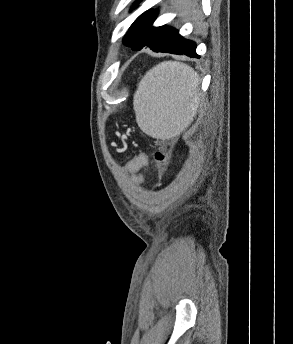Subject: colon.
<instances>
[{
  "instance_id": "colon-1",
  "label": "colon",
  "mask_w": 293,
  "mask_h": 344,
  "mask_svg": "<svg viewBox=\"0 0 293 344\" xmlns=\"http://www.w3.org/2000/svg\"><path fill=\"white\" fill-rule=\"evenodd\" d=\"M154 161L159 170H163L168 163V152L166 150H157L154 153Z\"/></svg>"
}]
</instances>
